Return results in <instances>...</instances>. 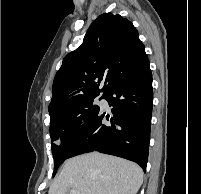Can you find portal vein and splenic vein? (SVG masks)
Masks as SVG:
<instances>
[{
  "mask_svg": "<svg viewBox=\"0 0 201 194\" xmlns=\"http://www.w3.org/2000/svg\"><path fill=\"white\" fill-rule=\"evenodd\" d=\"M70 194H81L79 191L70 189Z\"/></svg>",
  "mask_w": 201,
  "mask_h": 194,
  "instance_id": "18ae733b",
  "label": "portal vein and splenic vein"
}]
</instances>
